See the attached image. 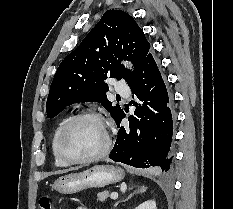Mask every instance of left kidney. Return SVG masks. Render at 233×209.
Returning a JSON list of instances; mask_svg holds the SVG:
<instances>
[{"instance_id":"1","label":"left kidney","mask_w":233,"mask_h":209,"mask_svg":"<svg viewBox=\"0 0 233 209\" xmlns=\"http://www.w3.org/2000/svg\"><path fill=\"white\" fill-rule=\"evenodd\" d=\"M135 209H157L155 200H148L137 206Z\"/></svg>"}]
</instances>
